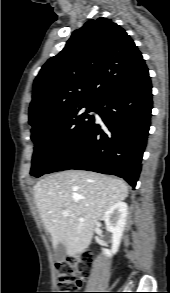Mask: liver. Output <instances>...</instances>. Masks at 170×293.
<instances>
[{"instance_id":"6515ba94","label":"liver","mask_w":170,"mask_h":293,"mask_svg":"<svg viewBox=\"0 0 170 293\" xmlns=\"http://www.w3.org/2000/svg\"><path fill=\"white\" fill-rule=\"evenodd\" d=\"M33 191L53 247L63 242L69 257H75L88 248L96 222L111 206L128 196L124 181L82 170L46 176L36 183ZM63 211L69 215L63 216Z\"/></svg>"}]
</instances>
